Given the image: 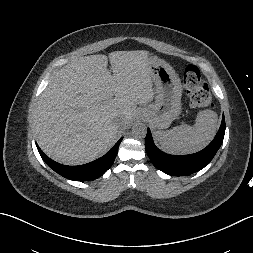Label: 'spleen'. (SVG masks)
<instances>
[{"label": "spleen", "mask_w": 253, "mask_h": 253, "mask_svg": "<svg viewBox=\"0 0 253 253\" xmlns=\"http://www.w3.org/2000/svg\"><path fill=\"white\" fill-rule=\"evenodd\" d=\"M217 114L210 110L198 112L195 124L157 131L156 138L161 147L172 154H191L206 147L217 130Z\"/></svg>", "instance_id": "3e777b00"}]
</instances>
